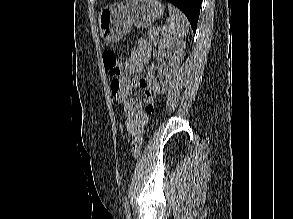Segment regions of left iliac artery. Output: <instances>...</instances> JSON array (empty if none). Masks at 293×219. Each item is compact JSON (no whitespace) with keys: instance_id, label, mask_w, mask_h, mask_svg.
<instances>
[{"instance_id":"left-iliac-artery-1","label":"left iliac artery","mask_w":293,"mask_h":219,"mask_svg":"<svg viewBox=\"0 0 293 219\" xmlns=\"http://www.w3.org/2000/svg\"><path fill=\"white\" fill-rule=\"evenodd\" d=\"M125 214H126V219H131L129 203L127 200L125 202Z\"/></svg>"}]
</instances>
